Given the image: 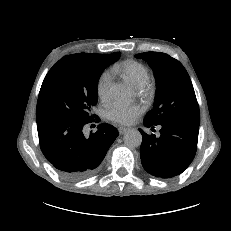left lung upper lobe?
Listing matches in <instances>:
<instances>
[{
    "mask_svg": "<svg viewBox=\"0 0 231 231\" xmlns=\"http://www.w3.org/2000/svg\"><path fill=\"white\" fill-rule=\"evenodd\" d=\"M135 57L147 61L157 81L154 108L144 119L154 125L184 120L200 122L194 88L183 65L165 53L144 52Z\"/></svg>",
    "mask_w": 231,
    "mask_h": 231,
    "instance_id": "5c2ea615",
    "label": "left lung upper lobe"
}]
</instances>
